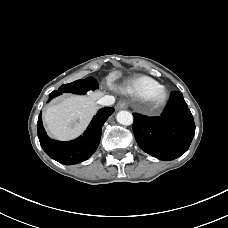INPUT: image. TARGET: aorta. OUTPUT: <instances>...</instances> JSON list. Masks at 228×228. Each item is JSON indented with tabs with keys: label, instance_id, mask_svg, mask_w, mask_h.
Returning <instances> with one entry per match:
<instances>
[{
	"label": "aorta",
	"instance_id": "1",
	"mask_svg": "<svg viewBox=\"0 0 228 228\" xmlns=\"http://www.w3.org/2000/svg\"><path fill=\"white\" fill-rule=\"evenodd\" d=\"M116 120L122 125H131L133 123V116L128 111H119L116 115Z\"/></svg>",
	"mask_w": 228,
	"mask_h": 228
}]
</instances>
